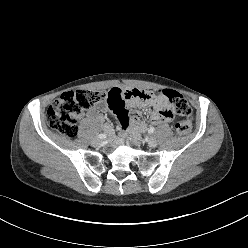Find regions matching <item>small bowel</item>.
<instances>
[{
  "label": "small bowel",
  "instance_id": "small-bowel-1",
  "mask_svg": "<svg viewBox=\"0 0 248 248\" xmlns=\"http://www.w3.org/2000/svg\"><path fill=\"white\" fill-rule=\"evenodd\" d=\"M107 104L101 109L109 108L114 113L123 129L132 126L134 129L144 132L147 130V124L137 122L138 109L141 105H149L153 111L151 121L154 124L165 123L173 118V113H169V102L163 93L153 94L137 88L125 89L123 86H109L106 89ZM92 116H97L96 111L91 112ZM104 130L113 137V130L108 123L103 124Z\"/></svg>",
  "mask_w": 248,
  "mask_h": 248
}]
</instances>
